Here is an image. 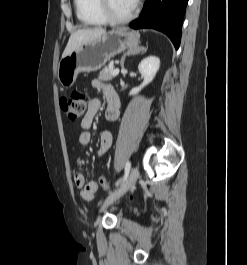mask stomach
<instances>
[{
    "mask_svg": "<svg viewBox=\"0 0 247 265\" xmlns=\"http://www.w3.org/2000/svg\"><path fill=\"white\" fill-rule=\"evenodd\" d=\"M139 43V34L126 28L105 32L60 60L57 67L58 81L63 87L70 88L79 73L97 71L115 55L126 49L136 48Z\"/></svg>",
    "mask_w": 247,
    "mask_h": 265,
    "instance_id": "0dacf381",
    "label": "stomach"
}]
</instances>
